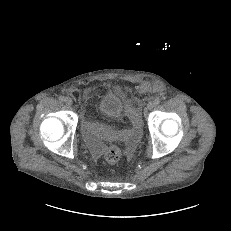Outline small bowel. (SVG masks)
I'll use <instances>...</instances> for the list:
<instances>
[{
	"label": "small bowel",
	"instance_id": "c3829d8e",
	"mask_svg": "<svg viewBox=\"0 0 231 231\" xmlns=\"http://www.w3.org/2000/svg\"><path fill=\"white\" fill-rule=\"evenodd\" d=\"M90 95V91L86 92ZM83 134L88 145L96 152L100 150V144L98 143V137H105V130L99 127L96 123L85 117L83 120ZM136 136L135 132L127 134L126 137L134 138Z\"/></svg>",
	"mask_w": 231,
	"mask_h": 231
}]
</instances>
